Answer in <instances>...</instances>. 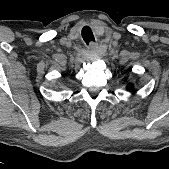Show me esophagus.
Returning a JSON list of instances; mask_svg holds the SVG:
<instances>
[{"label": "esophagus", "mask_w": 169, "mask_h": 169, "mask_svg": "<svg viewBox=\"0 0 169 169\" xmlns=\"http://www.w3.org/2000/svg\"><path fill=\"white\" fill-rule=\"evenodd\" d=\"M95 47H96V43L91 42V43L89 44V48H90V49H93V48H95Z\"/></svg>", "instance_id": "34e87169"}]
</instances>
